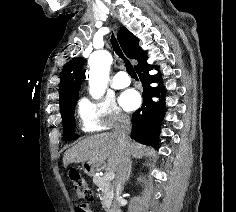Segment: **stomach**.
I'll use <instances>...</instances> for the list:
<instances>
[{
	"label": "stomach",
	"instance_id": "stomach-1",
	"mask_svg": "<svg viewBox=\"0 0 236 212\" xmlns=\"http://www.w3.org/2000/svg\"><path fill=\"white\" fill-rule=\"evenodd\" d=\"M82 168L84 172L89 176H94L97 170V167H95L93 164H90L88 162L83 163Z\"/></svg>",
	"mask_w": 236,
	"mask_h": 212
}]
</instances>
